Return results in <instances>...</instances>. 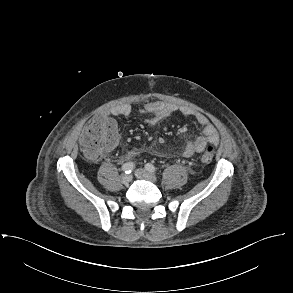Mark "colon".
Instances as JSON below:
<instances>
[{
    "mask_svg": "<svg viewBox=\"0 0 293 293\" xmlns=\"http://www.w3.org/2000/svg\"><path fill=\"white\" fill-rule=\"evenodd\" d=\"M118 141L116 122L110 117L94 116L86 124L80 139V147L86 157L92 160L99 159L102 153L112 148ZM214 145L207 146L201 156L203 163H210L214 156Z\"/></svg>",
    "mask_w": 293,
    "mask_h": 293,
    "instance_id": "obj_1",
    "label": "colon"
}]
</instances>
